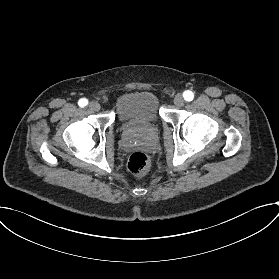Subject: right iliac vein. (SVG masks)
I'll list each match as a JSON object with an SVG mask.
<instances>
[{"label":"right iliac vein","mask_w":279,"mask_h":279,"mask_svg":"<svg viewBox=\"0 0 279 279\" xmlns=\"http://www.w3.org/2000/svg\"><path fill=\"white\" fill-rule=\"evenodd\" d=\"M101 108L100 104L96 101H92L89 103V109L92 111H99Z\"/></svg>","instance_id":"right-iliac-vein-1"}]
</instances>
